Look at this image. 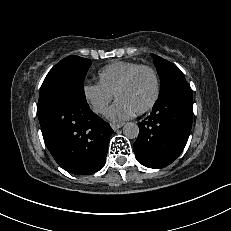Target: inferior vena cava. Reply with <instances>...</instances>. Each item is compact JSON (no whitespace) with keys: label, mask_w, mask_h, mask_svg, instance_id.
Segmentation results:
<instances>
[{"label":"inferior vena cava","mask_w":231,"mask_h":231,"mask_svg":"<svg viewBox=\"0 0 231 231\" xmlns=\"http://www.w3.org/2000/svg\"><path fill=\"white\" fill-rule=\"evenodd\" d=\"M102 109H103L102 107H99L96 111H97V112H101Z\"/></svg>","instance_id":"602c4592"}]
</instances>
